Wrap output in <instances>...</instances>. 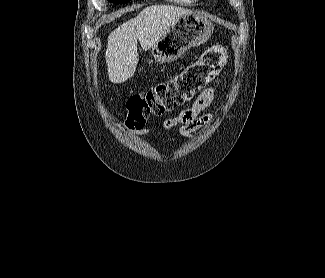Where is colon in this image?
<instances>
[{
    "label": "colon",
    "instance_id": "colon-1",
    "mask_svg": "<svg viewBox=\"0 0 325 278\" xmlns=\"http://www.w3.org/2000/svg\"><path fill=\"white\" fill-rule=\"evenodd\" d=\"M228 60L225 48L214 45L176 77L131 97L125 106V125L142 129L150 117L171 111L191 100L215 79Z\"/></svg>",
    "mask_w": 325,
    "mask_h": 278
}]
</instances>
